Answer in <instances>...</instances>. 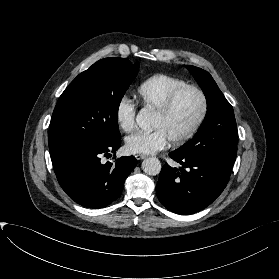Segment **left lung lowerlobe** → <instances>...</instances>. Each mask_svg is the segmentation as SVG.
<instances>
[{
  "label": "left lung lower lobe",
  "instance_id": "0a47b994",
  "mask_svg": "<svg viewBox=\"0 0 279 279\" xmlns=\"http://www.w3.org/2000/svg\"><path fill=\"white\" fill-rule=\"evenodd\" d=\"M169 156L182 167H162L156 185L159 201L171 212L187 215L210 205L226 187L231 167L211 158Z\"/></svg>",
  "mask_w": 279,
  "mask_h": 279
}]
</instances>
